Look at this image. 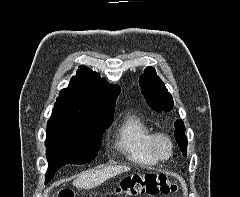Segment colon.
Wrapping results in <instances>:
<instances>
[{
  "label": "colon",
  "instance_id": "obj_1",
  "mask_svg": "<svg viewBox=\"0 0 240 197\" xmlns=\"http://www.w3.org/2000/svg\"><path fill=\"white\" fill-rule=\"evenodd\" d=\"M177 185L165 175L156 173L134 174L123 179L116 188V195L132 197L141 193L149 195L175 192ZM51 197H74L73 191L64 189Z\"/></svg>",
  "mask_w": 240,
  "mask_h": 197
}]
</instances>
